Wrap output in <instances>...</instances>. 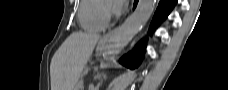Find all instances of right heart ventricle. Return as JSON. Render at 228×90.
<instances>
[{
	"mask_svg": "<svg viewBox=\"0 0 228 90\" xmlns=\"http://www.w3.org/2000/svg\"><path fill=\"white\" fill-rule=\"evenodd\" d=\"M107 1L83 0L78 10V19L87 31L100 32L107 26V20L103 16V6Z\"/></svg>",
	"mask_w": 228,
	"mask_h": 90,
	"instance_id": "right-heart-ventricle-1",
	"label": "right heart ventricle"
}]
</instances>
